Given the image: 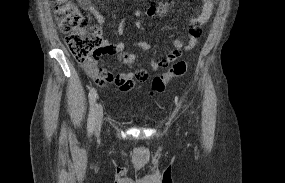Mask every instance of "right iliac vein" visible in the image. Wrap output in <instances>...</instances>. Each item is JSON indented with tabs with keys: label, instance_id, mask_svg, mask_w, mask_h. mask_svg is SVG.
<instances>
[{
	"label": "right iliac vein",
	"instance_id": "obj_1",
	"mask_svg": "<svg viewBox=\"0 0 285 183\" xmlns=\"http://www.w3.org/2000/svg\"><path fill=\"white\" fill-rule=\"evenodd\" d=\"M102 120H103V108L100 104H97L95 108V131L97 134L100 131Z\"/></svg>",
	"mask_w": 285,
	"mask_h": 183
}]
</instances>
